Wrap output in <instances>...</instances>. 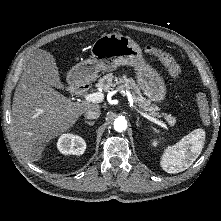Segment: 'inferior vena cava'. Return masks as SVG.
I'll use <instances>...</instances> for the list:
<instances>
[{"label":"inferior vena cava","instance_id":"1","mask_svg":"<svg viewBox=\"0 0 221 221\" xmlns=\"http://www.w3.org/2000/svg\"><path fill=\"white\" fill-rule=\"evenodd\" d=\"M101 112L99 108H92L84 113L86 119H97L100 116Z\"/></svg>","mask_w":221,"mask_h":221}]
</instances>
